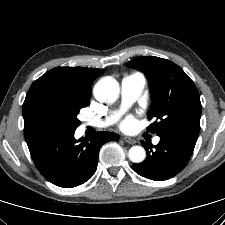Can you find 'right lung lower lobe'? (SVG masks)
Returning a JSON list of instances; mask_svg holds the SVG:
<instances>
[{"label": "right lung lower lobe", "instance_id": "98d812e1", "mask_svg": "<svg viewBox=\"0 0 225 225\" xmlns=\"http://www.w3.org/2000/svg\"><path fill=\"white\" fill-rule=\"evenodd\" d=\"M75 130L33 126L24 130L31 157L40 173L60 187H75L88 181L97 169L100 147L119 136L98 132L89 139L74 138Z\"/></svg>", "mask_w": 225, "mask_h": 225}]
</instances>
